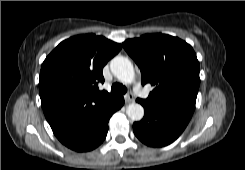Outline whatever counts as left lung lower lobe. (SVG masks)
Instances as JSON below:
<instances>
[{"label": "left lung lower lobe", "mask_w": 245, "mask_h": 170, "mask_svg": "<svg viewBox=\"0 0 245 170\" xmlns=\"http://www.w3.org/2000/svg\"><path fill=\"white\" fill-rule=\"evenodd\" d=\"M145 109V115L133 124L136 137L144 144L162 147L172 143L184 131L190 118L168 110L158 109L139 101Z\"/></svg>", "instance_id": "1"}]
</instances>
